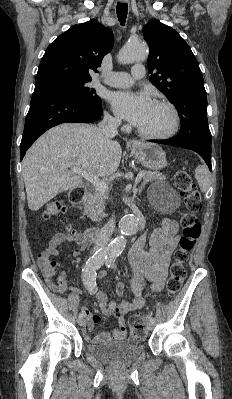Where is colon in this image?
Returning a JSON list of instances; mask_svg holds the SVG:
<instances>
[{"instance_id": "1", "label": "colon", "mask_w": 232, "mask_h": 399, "mask_svg": "<svg viewBox=\"0 0 232 399\" xmlns=\"http://www.w3.org/2000/svg\"><path fill=\"white\" fill-rule=\"evenodd\" d=\"M173 179L178 184L182 195L180 202L182 217H180V222H183V236L178 241L175 258L171 263V275L167 277L168 282L165 284L164 296L168 300L176 298L185 274L184 264L189 261V253L192 250L195 239H198V235H202V230H200V225L197 223L196 218L198 211H201L198 186L193 184L190 175H187L183 170L175 171ZM66 211V206L59 203V198L57 200L51 199L39 208L35 213V218L39 222H44L52 213L63 215ZM54 256V249L46 247L42 252L38 253L37 261L41 264V270L47 274V278L51 283V290L61 292L66 290V283H64V277L58 270L54 269V265L50 262ZM128 322L132 324L131 330H133L131 341H144L146 330L140 317H129Z\"/></svg>"}]
</instances>
